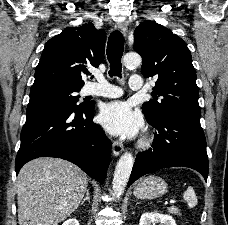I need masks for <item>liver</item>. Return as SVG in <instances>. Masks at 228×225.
Instances as JSON below:
<instances>
[{"mask_svg": "<svg viewBox=\"0 0 228 225\" xmlns=\"http://www.w3.org/2000/svg\"><path fill=\"white\" fill-rule=\"evenodd\" d=\"M87 177L62 159H34L17 177L19 225H59L76 211Z\"/></svg>", "mask_w": 228, "mask_h": 225, "instance_id": "6515ba94", "label": "liver"}]
</instances>
